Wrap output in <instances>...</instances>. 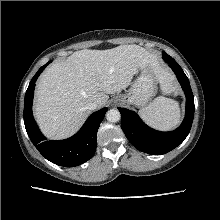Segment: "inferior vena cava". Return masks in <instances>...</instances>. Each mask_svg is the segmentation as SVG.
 <instances>
[{
	"mask_svg": "<svg viewBox=\"0 0 220 220\" xmlns=\"http://www.w3.org/2000/svg\"><path fill=\"white\" fill-rule=\"evenodd\" d=\"M98 107H99L98 103L97 102H93V103L89 104L87 108L89 110L93 111V110L97 109Z\"/></svg>",
	"mask_w": 220,
	"mask_h": 220,
	"instance_id": "inferior-vena-cava-1",
	"label": "inferior vena cava"
}]
</instances>
